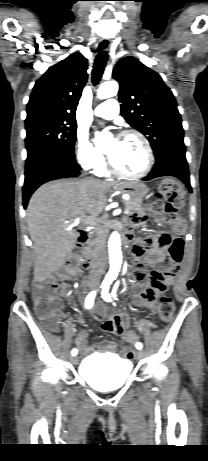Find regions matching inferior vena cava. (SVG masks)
Wrapping results in <instances>:
<instances>
[{
  "label": "inferior vena cava",
  "mask_w": 208,
  "mask_h": 461,
  "mask_svg": "<svg viewBox=\"0 0 208 461\" xmlns=\"http://www.w3.org/2000/svg\"><path fill=\"white\" fill-rule=\"evenodd\" d=\"M105 265H106V250H105V244L101 239V242L98 248L97 257L90 271V277L93 280H99L105 270Z\"/></svg>",
  "instance_id": "inferior-vena-cava-1"
}]
</instances>
